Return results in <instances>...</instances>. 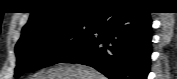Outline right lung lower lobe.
Masks as SVG:
<instances>
[{"label":"right lung lower lobe","mask_w":177,"mask_h":79,"mask_svg":"<svg viewBox=\"0 0 177 79\" xmlns=\"http://www.w3.org/2000/svg\"><path fill=\"white\" fill-rule=\"evenodd\" d=\"M149 11L134 6L104 9L92 31L60 62L96 68L110 79H147L151 55Z\"/></svg>","instance_id":"right-lung-lower-lobe-1"}]
</instances>
